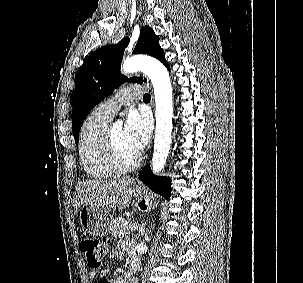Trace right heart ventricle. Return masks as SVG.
<instances>
[{
    "mask_svg": "<svg viewBox=\"0 0 303 283\" xmlns=\"http://www.w3.org/2000/svg\"><path fill=\"white\" fill-rule=\"evenodd\" d=\"M111 117L99 108L85 119L79 135V156L87 175L95 180L112 177L115 171L110 167L104 150V136Z\"/></svg>",
    "mask_w": 303,
    "mask_h": 283,
    "instance_id": "e07e8e85",
    "label": "right heart ventricle"
}]
</instances>
